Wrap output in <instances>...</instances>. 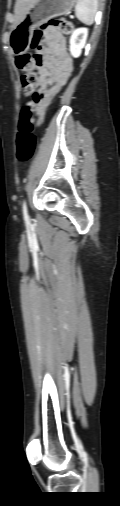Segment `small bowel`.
<instances>
[{"instance_id": "c3829d8e", "label": "small bowel", "mask_w": 120, "mask_h": 506, "mask_svg": "<svg viewBox=\"0 0 120 506\" xmlns=\"http://www.w3.org/2000/svg\"><path fill=\"white\" fill-rule=\"evenodd\" d=\"M35 57L38 60L39 91L42 97L37 114L39 121H42L47 107L66 85L73 63L66 51L64 36L53 29L46 31Z\"/></svg>"}]
</instances>
